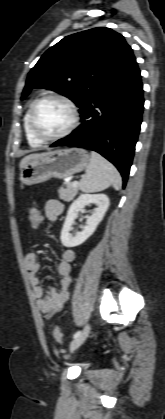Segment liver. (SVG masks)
I'll list each match as a JSON object with an SVG mask.
<instances>
[{"label": "liver", "mask_w": 165, "mask_h": 419, "mask_svg": "<svg viewBox=\"0 0 165 419\" xmlns=\"http://www.w3.org/2000/svg\"><path fill=\"white\" fill-rule=\"evenodd\" d=\"M50 152H45V153H34V154H30L25 156L24 158H22V160L20 161V169L23 168V166L32 158L38 157V156H43L46 154H49Z\"/></svg>", "instance_id": "6515ba94"}]
</instances>
